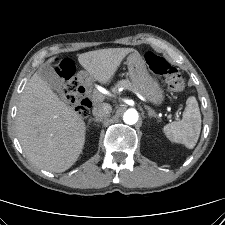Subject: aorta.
I'll use <instances>...</instances> for the list:
<instances>
[{"label": "aorta", "mask_w": 225, "mask_h": 225, "mask_svg": "<svg viewBox=\"0 0 225 225\" xmlns=\"http://www.w3.org/2000/svg\"><path fill=\"white\" fill-rule=\"evenodd\" d=\"M138 118L139 115L135 109H128L123 115V121L128 125H134Z\"/></svg>", "instance_id": "obj_1"}]
</instances>
